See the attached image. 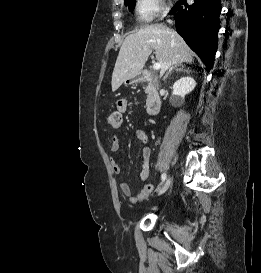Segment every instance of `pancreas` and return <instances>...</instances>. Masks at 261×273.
Listing matches in <instances>:
<instances>
[{"label": "pancreas", "instance_id": "1", "mask_svg": "<svg viewBox=\"0 0 261 273\" xmlns=\"http://www.w3.org/2000/svg\"><path fill=\"white\" fill-rule=\"evenodd\" d=\"M151 88H152V85L151 84H149V85H147V87H146V93H149V91L151 90Z\"/></svg>", "mask_w": 261, "mask_h": 273}]
</instances>
